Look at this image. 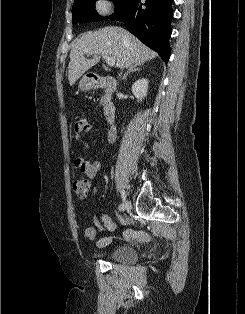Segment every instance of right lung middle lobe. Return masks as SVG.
<instances>
[{"label":"right lung middle lobe","mask_w":245,"mask_h":314,"mask_svg":"<svg viewBox=\"0 0 245 314\" xmlns=\"http://www.w3.org/2000/svg\"><path fill=\"white\" fill-rule=\"evenodd\" d=\"M96 0H77L72 7L73 23L91 22L101 20V16L95 10ZM115 3L116 11L126 5L129 0H112Z\"/></svg>","instance_id":"1"}]
</instances>
